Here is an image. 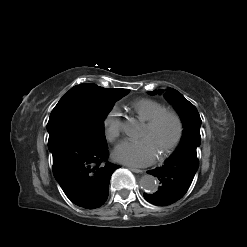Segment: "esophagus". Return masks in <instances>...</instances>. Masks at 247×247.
<instances>
[{
    "mask_svg": "<svg viewBox=\"0 0 247 247\" xmlns=\"http://www.w3.org/2000/svg\"><path fill=\"white\" fill-rule=\"evenodd\" d=\"M129 170H131V171L134 172V173H143V172H144V171L141 170V169L132 168V167H129Z\"/></svg>",
    "mask_w": 247,
    "mask_h": 247,
    "instance_id": "34e87169",
    "label": "esophagus"
}]
</instances>
